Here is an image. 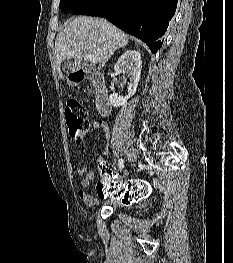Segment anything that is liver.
Masks as SVG:
<instances>
[{
    "instance_id": "6515ba94",
    "label": "liver",
    "mask_w": 233,
    "mask_h": 263,
    "mask_svg": "<svg viewBox=\"0 0 233 263\" xmlns=\"http://www.w3.org/2000/svg\"><path fill=\"white\" fill-rule=\"evenodd\" d=\"M128 42V36L106 19L86 16L73 19L55 40V63L60 78H64L60 66L66 59H74L71 70L76 72L81 68L83 53H90L97 58L101 69Z\"/></svg>"
}]
</instances>
